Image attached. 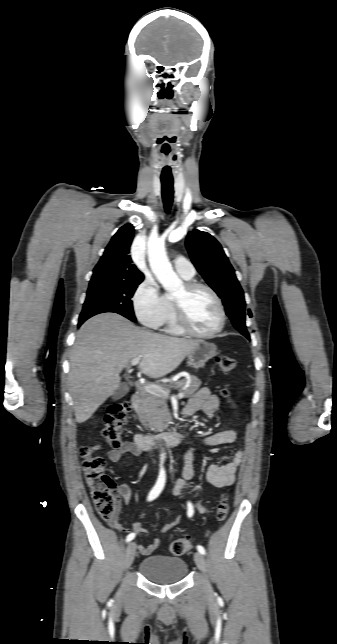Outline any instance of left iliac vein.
<instances>
[{"mask_svg":"<svg viewBox=\"0 0 337 644\" xmlns=\"http://www.w3.org/2000/svg\"><path fill=\"white\" fill-rule=\"evenodd\" d=\"M194 561L200 571L203 573H206V561L202 554L200 552H196L194 554ZM208 589H210V585L208 584Z\"/></svg>","mask_w":337,"mask_h":644,"instance_id":"left-iliac-vein-1","label":"left iliac vein"}]
</instances>
